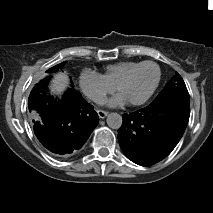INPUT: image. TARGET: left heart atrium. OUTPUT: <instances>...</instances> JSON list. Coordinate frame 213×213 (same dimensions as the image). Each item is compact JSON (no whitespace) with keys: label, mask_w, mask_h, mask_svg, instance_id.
<instances>
[{"label":"left heart atrium","mask_w":213,"mask_h":213,"mask_svg":"<svg viewBox=\"0 0 213 213\" xmlns=\"http://www.w3.org/2000/svg\"><path fill=\"white\" fill-rule=\"evenodd\" d=\"M126 103H128V101L125 99V97L121 93L116 94L107 102L108 105L113 106V107L114 106H123Z\"/></svg>","instance_id":"39dd6f15"}]
</instances>
